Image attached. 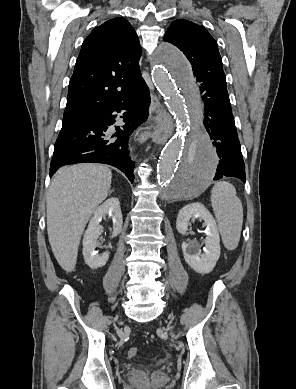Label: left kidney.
<instances>
[{
	"label": "left kidney",
	"mask_w": 296,
	"mask_h": 389,
	"mask_svg": "<svg viewBox=\"0 0 296 389\" xmlns=\"http://www.w3.org/2000/svg\"><path fill=\"white\" fill-rule=\"evenodd\" d=\"M203 220L206 229L204 240L205 248L201 252V245L196 243H182L183 256L186 263L197 273H210L220 256V237L216 222L211 213L201 203H192L183 207L177 216L176 229L185 235L188 230L190 220Z\"/></svg>",
	"instance_id": "obj_1"
}]
</instances>
